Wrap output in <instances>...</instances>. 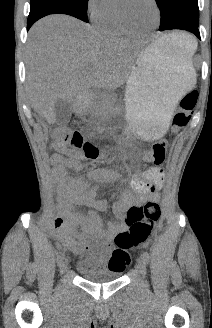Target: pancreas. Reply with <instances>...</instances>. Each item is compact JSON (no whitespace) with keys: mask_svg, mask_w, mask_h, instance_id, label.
Here are the masks:
<instances>
[{"mask_svg":"<svg viewBox=\"0 0 212 328\" xmlns=\"http://www.w3.org/2000/svg\"><path fill=\"white\" fill-rule=\"evenodd\" d=\"M103 110H116L115 99L112 95L104 94L100 97V101L98 103L90 102L87 105V112L93 117H99Z\"/></svg>","mask_w":212,"mask_h":328,"instance_id":"pancreas-1","label":"pancreas"}]
</instances>
